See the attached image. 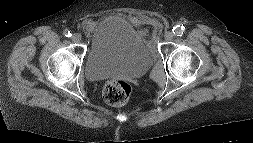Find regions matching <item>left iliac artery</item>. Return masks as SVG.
I'll list each match as a JSON object with an SVG mask.
<instances>
[{
  "instance_id": "1",
  "label": "left iliac artery",
  "mask_w": 253,
  "mask_h": 143,
  "mask_svg": "<svg viewBox=\"0 0 253 143\" xmlns=\"http://www.w3.org/2000/svg\"><path fill=\"white\" fill-rule=\"evenodd\" d=\"M184 29H185V27L183 25L182 26L178 25V26L174 27L172 31L176 36H182Z\"/></svg>"
}]
</instances>
